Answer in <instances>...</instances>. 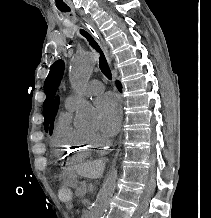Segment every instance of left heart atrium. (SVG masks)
I'll return each instance as SVG.
<instances>
[{
  "instance_id": "left-heart-atrium-1",
  "label": "left heart atrium",
  "mask_w": 211,
  "mask_h": 218,
  "mask_svg": "<svg viewBox=\"0 0 211 218\" xmlns=\"http://www.w3.org/2000/svg\"><path fill=\"white\" fill-rule=\"evenodd\" d=\"M95 106L101 133L105 137L114 136L119 130L122 114L117 97L112 93H105L96 100Z\"/></svg>"
}]
</instances>
